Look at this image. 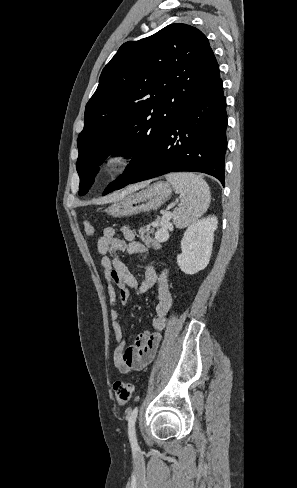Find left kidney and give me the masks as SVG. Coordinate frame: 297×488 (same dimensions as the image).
Returning a JSON list of instances; mask_svg holds the SVG:
<instances>
[{"label":"left kidney","mask_w":297,"mask_h":488,"mask_svg":"<svg viewBox=\"0 0 297 488\" xmlns=\"http://www.w3.org/2000/svg\"><path fill=\"white\" fill-rule=\"evenodd\" d=\"M217 224L215 216H208L188 226L181 241L182 253L177 256L182 272L193 275L208 265Z\"/></svg>","instance_id":"5707ae66"}]
</instances>
